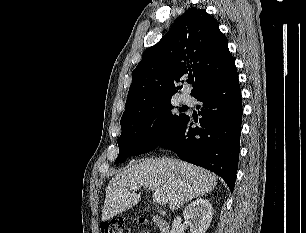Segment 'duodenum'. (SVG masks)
Here are the masks:
<instances>
[{"mask_svg": "<svg viewBox=\"0 0 306 233\" xmlns=\"http://www.w3.org/2000/svg\"><path fill=\"white\" fill-rule=\"evenodd\" d=\"M152 219L157 225L159 233H170V225L165 219L156 215H152Z\"/></svg>", "mask_w": 306, "mask_h": 233, "instance_id": "duodenum-1", "label": "duodenum"}]
</instances>
